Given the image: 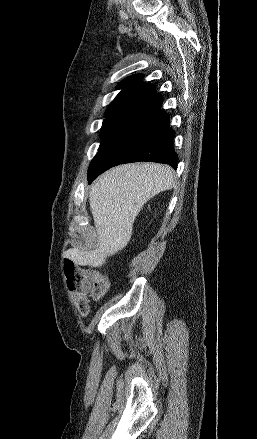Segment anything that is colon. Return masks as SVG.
<instances>
[{"mask_svg":"<svg viewBox=\"0 0 257 439\" xmlns=\"http://www.w3.org/2000/svg\"><path fill=\"white\" fill-rule=\"evenodd\" d=\"M67 285L77 309L82 315L89 312V300L99 299L108 290V280L100 273L77 267L73 262L64 263Z\"/></svg>","mask_w":257,"mask_h":439,"instance_id":"colon-1","label":"colon"}]
</instances>
